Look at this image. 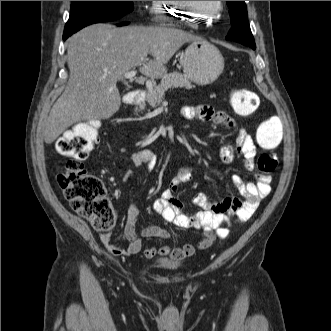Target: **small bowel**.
<instances>
[{"instance_id":"1","label":"small bowel","mask_w":331,"mask_h":331,"mask_svg":"<svg viewBox=\"0 0 331 331\" xmlns=\"http://www.w3.org/2000/svg\"><path fill=\"white\" fill-rule=\"evenodd\" d=\"M181 114L186 119L198 118L201 121H212L218 125L232 128L234 123L229 115L222 111H216L208 105L187 106L182 108ZM238 153L242 156V166L247 171H253L256 156V145L251 135L244 129H240L235 145H224L220 149V159L224 164H230ZM136 167L147 166L152 169L156 162L155 154L149 149H143L133 153L128 158ZM193 171L190 168L180 169L171 179L168 187L162 191L160 197L152 205L153 211L168 223L179 228L199 230L202 232L200 241H213L216 237L225 238L229 232L231 217L241 223L249 220L259 206L261 200L271 192V177L256 174L254 181L247 182L241 176L232 177V182L237 188L243 200L234 195H227L221 201H210L205 194H197L193 204L197 210L187 212L184 203L176 194L178 188L191 181ZM140 210L135 202H131L126 212L124 234L120 241H127L123 248L116 246L109 234L102 235L101 239L109 252L114 255H132L143 250L147 258L157 255L168 256L174 260H181L194 254L195 246L187 243L179 248H170L167 245L150 246L143 249L142 237L159 238L166 240L169 233L156 225L141 226L139 224ZM199 241V242H200ZM199 245V243H198Z\"/></svg>"}]
</instances>
